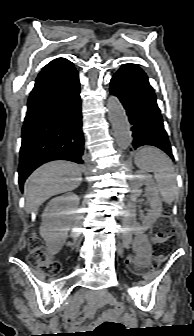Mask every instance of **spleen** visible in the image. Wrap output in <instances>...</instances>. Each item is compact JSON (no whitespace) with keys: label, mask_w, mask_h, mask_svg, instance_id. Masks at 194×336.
<instances>
[{"label":"spleen","mask_w":194,"mask_h":336,"mask_svg":"<svg viewBox=\"0 0 194 336\" xmlns=\"http://www.w3.org/2000/svg\"><path fill=\"white\" fill-rule=\"evenodd\" d=\"M135 164L144 172L154 173L160 195L171 204L178 190L173 164L167 155L157 148L146 146L136 153Z\"/></svg>","instance_id":"1"}]
</instances>
